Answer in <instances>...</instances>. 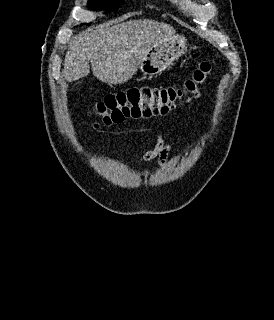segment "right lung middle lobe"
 <instances>
[{
  "instance_id": "1",
  "label": "right lung middle lobe",
  "mask_w": 274,
  "mask_h": 320,
  "mask_svg": "<svg viewBox=\"0 0 274 320\" xmlns=\"http://www.w3.org/2000/svg\"><path fill=\"white\" fill-rule=\"evenodd\" d=\"M121 4L122 0H89L87 6L91 10L108 8L107 12H111L121 7Z\"/></svg>"
}]
</instances>
